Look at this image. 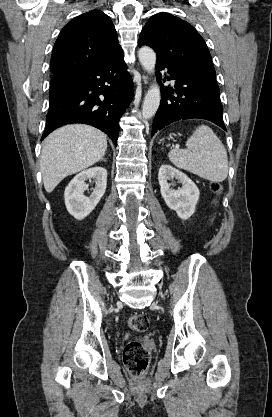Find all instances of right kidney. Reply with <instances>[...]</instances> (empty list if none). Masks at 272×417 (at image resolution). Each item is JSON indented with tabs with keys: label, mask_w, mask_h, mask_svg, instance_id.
<instances>
[{
	"label": "right kidney",
	"mask_w": 272,
	"mask_h": 417,
	"mask_svg": "<svg viewBox=\"0 0 272 417\" xmlns=\"http://www.w3.org/2000/svg\"><path fill=\"white\" fill-rule=\"evenodd\" d=\"M95 179L96 186L89 197L84 195L88 189L86 181ZM107 171L103 167H93L76 175L65 189L64 199L68 212L77 220L87 217L105 193Z\"/></svg>",
	"instance_id": "ca27d5eb"
}]
</instances>
